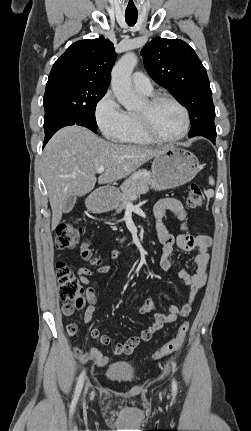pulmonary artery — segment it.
Instances as JSON below:
<instances>
[{"label": "pulmonary artery", "instance_id": "e3ab8cb5", "mask_svg": "<svg viewBox=\"0 0 251 431\" xmlns=\"http://www.w3.org/2000/svg\"><path fill=\"white\" fill-rule=\"evenodd\" d=\"M134 88L144 94L152 92V85L149 78L141 72H135L132 76Z\"/></svg>", "mask_w": 251, "mask_h": 431}]
</instances>
